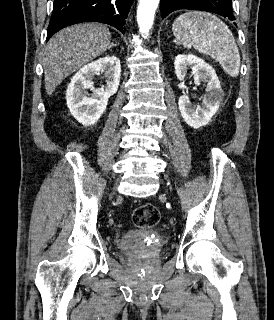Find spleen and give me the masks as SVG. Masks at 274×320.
I'll list each match as a JSON object with an SVG mask.
<instances>
[{
    "mask_svg": "<svg viewBox=\"0 0 274 320\" xmlns=\"http://www.w3.org/2000/svg\"><path fill=\"white\" fill-rule=\"evenodd\" d=\"M172 32L185 48L207 54L221 64L224 72L237 78L240 70V54L228 26L208 12H186L176 18Z\"/></svg>",
    "mask_w": 274,
    "mask_h": 320,
    "instance_id": "1",
    "label": "spleen"
}]
</instances>
